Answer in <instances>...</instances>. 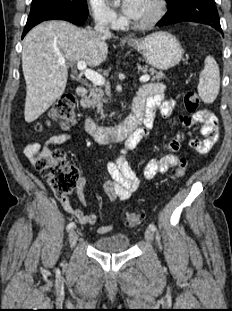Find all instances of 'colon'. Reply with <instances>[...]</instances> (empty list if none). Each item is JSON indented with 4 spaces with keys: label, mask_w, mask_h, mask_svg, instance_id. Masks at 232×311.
Instances as JSON below:
<instances>
[{
    "label": "colon",
    "mask_w": 232,
    "mask_h": 311,
    "mask_svg": "<svg viewBox=\"0 0 232 311\" xmlns=\"http://www.w3.org/2000/svg\"><path fill=\"white\" fill-rule=\"evenodd\" d=\"M200 104L198 95L194 92L186 93L184 97L185 109L188 113H196ZM75 99L70 94L62 95L51 108L47 124L57 123L62 127L71 125L75 120ZM44 124L37 123L35 129L42 131ZM36 169L47 179L50 188L59 196L70 195L77 187L79 180L78 170L70 165L66 153L62 149H51L47 154H38L34 157ZM187 160L181 159L174 171L175 178L185 175ZM143 215L138 212L129 213L124 218L127 227H135L141 223Z\"/></svg>",
    "instance_id": "5ec220e1"
}]
</instances>
